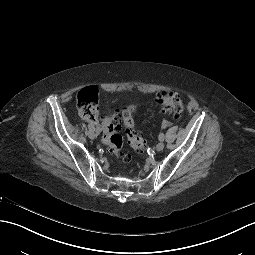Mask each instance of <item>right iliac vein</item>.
<instances>
[{
    "label": "right iliac vein",
    "mask_w": 255,
    "mask_h": 255,
    "mask_svg": "<svg viewBox=\"0 0 255 255\" xmlns=\"http://www.w3.org/2000/svg\"><path fill=\"white\" fill-rule=\"evenodd\" d=\"M88 136H89L90 139H95V137H96L95 131L94 130H89Z\"/></svg>",
    "instance_id": "63e3f726"
}]
</instances>
